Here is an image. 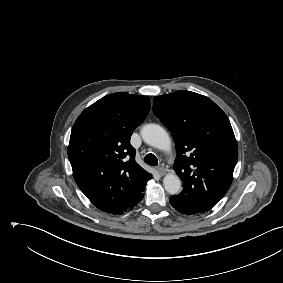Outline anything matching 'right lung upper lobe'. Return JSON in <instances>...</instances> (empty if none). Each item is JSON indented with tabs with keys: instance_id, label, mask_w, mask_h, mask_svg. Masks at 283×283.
Masks as SVG:
<instances>
[{
	"instance_id": "right-lung-upper-lobe-1",
	"label": "right lung upper lobe",
	"mask_w": 283,
	"mask_h": 283,
	"mask_svg": "<svg viewBox=\"0 0 283 283\" xmlns=\"http://www.w3.org/2000/svg\"><path fill=\"white\" fill-rule=\"evenodd\" d=\"M149 110L146 96L119 92L86 108L73 125L68 146L73 177L101 211L122 214L144 196L151 174L135 162L130 138Z\"/></svg>"
}]
</instances>
